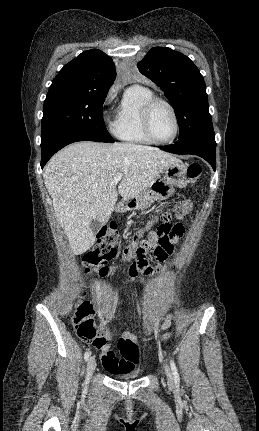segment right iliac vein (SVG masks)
<instances>
[{
    "label": "right iliac vein",
    "instance_id": "1",
    "mask_svg": "<svg viewBox=\"0 0 259 431\" xmlns=\"http://www.w3.org/2000/svg\"><path fill=\"white\" fill-rule=\"evenodd\" d=\"M95 368H96L95 359L93 357H91L87 362V368H86V380H87V382H89V380L91 379V377L95 371Z\"/></svg>",
    "mask_w": 259,
    "mask_h": 431
}]
</instances>
